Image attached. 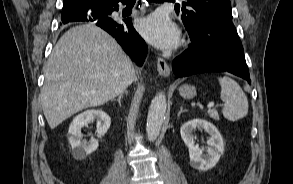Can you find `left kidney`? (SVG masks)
<instances>
[{"label": "left kidney", "mask_w": 293, "mask_h": 184, "mask_svg": "<svg viewBox=\"0 0 293 184\" xmlns=\"http://www.w3.org/2000/svg\"><path fill=\"white\" fill-rule=\"evenodd\" d=\"M204 129L210 138L207 141L206 154L204 149L195 145L193 131ZM181 138L189 149L190 163L198 170L206 171L213 168L224 152V142L217 128L203 119H193L184 123L180 129Z\"/></svg>", "instance_id": "5707ae66"}]
</instances>
